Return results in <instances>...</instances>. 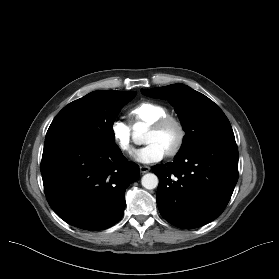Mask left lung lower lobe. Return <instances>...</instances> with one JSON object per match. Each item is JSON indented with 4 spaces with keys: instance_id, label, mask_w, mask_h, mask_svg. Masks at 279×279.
<instances>
[{
    "instance_id": "0a47b994",
    "label": "left lung lower lobe",
    "mask_w": 279,
    "mask_h": 279,
    "mask_svg": "<svg viewBox=\"0 0 279 279\" xmlns=\"http://www.w3.org/2000/svg\"><path fill=\"white\" fill-rule=\"evenodd\" d=\"M157 205L172 225L191 229L216 219L225 209L238 180L235 140L201 143L173 162L158 164Z\"/></svg>"
}]
</instances>
